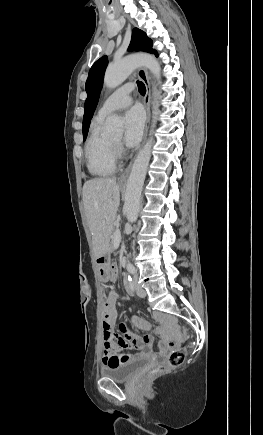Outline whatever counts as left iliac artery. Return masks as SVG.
Returning a JSON list of instances; mask_svg holds the SVG:
<instances>
[{
	"mask_svg": "<svg viewBox=\"0 0 263 435\" xmlns=\"http://www.w3.org/2000/svg\"><path fill=\"white\" fill-rule=\"evenodd\" d=\"M127 269L131 274L135 273V267L133 265H128Z\"/></svg>",
	"mask_w": 263,
	"mask_h": 435,
	"instance_id": "1",
	"label": "left iliac artery"
}]
</instances>
